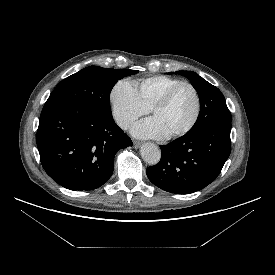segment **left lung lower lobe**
Segmentation results:
<instances>
[{
	"instance_id": "left-lung-lower-lobe-1",
	"label": "left lung lower lobe",
	"mask_w": 275,
	"mask_h": 275,
	"mask_svg": "<svg viewBox=\"0 0 275 275\" xmlns=\"http://www.w3.org/2000/svg\"><path fill=\"white\" fill-rule=\"evenodd\" d=\"M160 147V162L146 170L149 180L167 192L193 193L219 175L231 152L230 128L187 132Z\"/></svg>"
}]
</instances>
